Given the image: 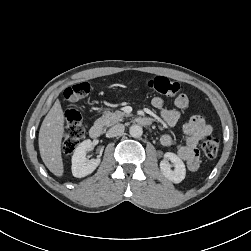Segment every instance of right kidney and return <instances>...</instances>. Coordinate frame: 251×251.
Returning a JSON list of instances; mask_svg holds the SVG:
<instances>
[{"mask_svg": "<svg viewBox=\"0 0 251 251\" xmlns=\"http://www.w3.org/2000/svg\"><path fill=\"white\" fill-rule=\"evenodd\" d=\"M92 148V141H83L72 156V174L74 177L82 178L91 174L100 164V159L87 160L86 154Z\"/></svg>", "mask_w": 251, "mask_h": 251, "instance_id": "ca27d5eb", "label": "right kidney"}]
</instances>
